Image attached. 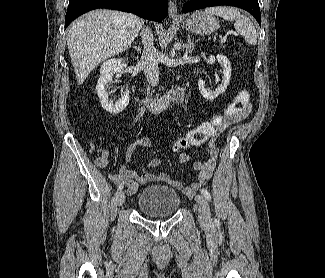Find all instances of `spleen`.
Returning a JSON list of instances; mask_svg holds the SVG:
<instances>
[{
  "label": "spleen",
  "mask_w": 325,
  "mask_h": 278,
  "mask_svg": "<svg viewBox=\"0 0 325 278\" xmlns=\"http://www.w3.org/2000/svg\"><path fill=\"white\" fill-rule=\"evenodd\" d=\"M206 13L222 17L228 21H234L235 30L244 36L248 44L255 45L257 43V33L250 19L233 7H209L205 9Z\"/></svg>",
  "instance_id": "obj_1"
}]
</instances>
